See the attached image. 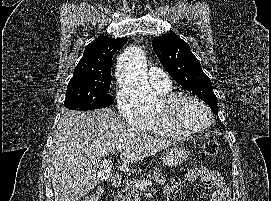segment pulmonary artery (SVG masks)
<instances>
[{
	"mask_svg": "<svg viewBox=\"0 0 271 201\" xmlns=\"http://www.w3.org/2000/svg\"><path fill=\"white\" fill-rule=\"evenodd\" d=\"M149 82L159 90L167 89L171 85L170 78L160 68L150 67L148 70Z\"/></svg>",
	"mask_w": 271,
	"mask_h": 201,
	"instance_id": "e3ab8cb5",
	"label": "pulmonary artery"
}]
</instances>
